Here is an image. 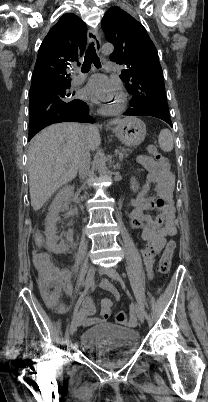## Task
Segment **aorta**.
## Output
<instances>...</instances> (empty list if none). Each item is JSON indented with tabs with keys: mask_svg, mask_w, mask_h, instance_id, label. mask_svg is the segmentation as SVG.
Masks as SVG:
<instances>
[{
	"mask_svg": "<svg viewBox=\"0 0 208 402\" xmlns=\"http://www.w3.org/2000/svg\"><path fill=\"white\" fill-rule=\"evenodd\" d=\"M101 52H102V54H105V56H107V54H111V52H113V48H110V50H106L105 46H103V48H101ZM103 156H104V154H102V152H98V154L96 156V164H97V168L99 169L100 176H103L106 174L105 162H104Z\"/></svg>",
	"mask_w": 208,
	"mask_h": 402,
	"instance_id": "762f6f07",
	"label": "aorta"
}]
</instances>
